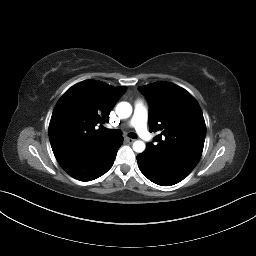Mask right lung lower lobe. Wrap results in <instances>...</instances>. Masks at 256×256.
Returning a JSON list of instances; mask_svg holds the SVG:
<instances>
[{"label": "right lung lower lobe", "instance_id": "98d812e1", "mask_svg": "<svg viewBox=\"0 0 256 256\" xmlns=\"http://www.w3.org/2000/svg\"><path fill=\"white\" fill-rule=\"evenodd\" d=\"M123 143V137L102 143L90 152L59 163L73 178L91 181L105 174L113 165L117 151Z\"/></svg>", "mask_w": 256, "mask_h": 256}]
</instances>
